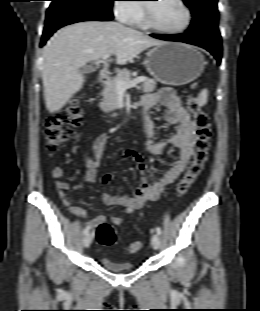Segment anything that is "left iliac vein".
I'll list each match as a JSON object with an SVG mask.
<instances>
[{
  "label": "left iliac vein",
  "instance_id": "obj_1",
  "mask_svg": "<svg viewBox=\"0 0 260 311\" xmlns=\"http://www.w3.org/2000/svg\"><path fill=\"white\" fill-rule=\"evenodd\" d=\"M151 244L154 249H158L160 246V237L158 234H153L151 238Z\"/></svg>",
  "mask_w": 260,
  "mask_h": 311
}]
</instances>
